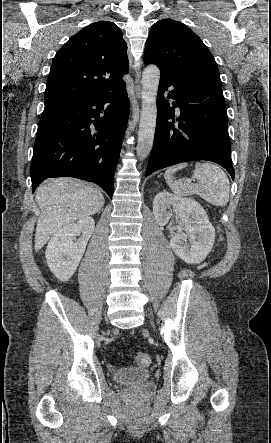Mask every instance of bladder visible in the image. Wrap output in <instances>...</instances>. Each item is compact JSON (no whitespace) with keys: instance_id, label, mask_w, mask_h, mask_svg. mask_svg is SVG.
Wrapping results in <instances>:
<instances>
[{"instance_id":"obj_1","label":"bladder","mask_w":271,"mask_h":443,"mask_svg":"<svg viewBox=\"0 0 271 443\" xmlns=\"http://www.w3.org/2000/svg\"><path fill=\"white\" fill-rule=\"evenodd\" d=\"M112 378L119 384H139L150 378V371L143 368L124 366L116 369L113 372Z\"/></svg>"}]
</instances>
